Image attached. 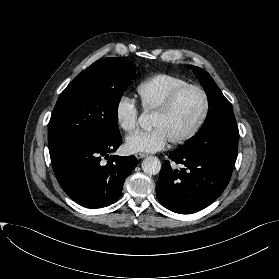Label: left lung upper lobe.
<instances>
[{"instance_id":"left-lung-upper-lobe-1","label":"left lung upper lobe","mask_w":279,"mask_h":279,"mask_svg":"<svg viewBox=\"0 0 279 279\" xmlns=\"http://www.w3.org/2000/svg\"><path fill=\"white\" fill-rule=\"evenodd\" d=\"M191 67L205 89L209 112L198 134L176 151L192 158L206 155L234 164L239 131L232 105L208 72L193 65Z\"/></svg>"}]
</instances>
